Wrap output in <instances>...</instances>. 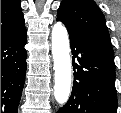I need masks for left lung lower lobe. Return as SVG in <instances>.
<instances>
[{"label": "left lung lower lobe", "mask_w": 121, "mask_h": 113, "mask_svg": "<svg viewBox=\"0 0 121 113\" xmlns=\"http://www.w3.org/2000/svg\"><path fill=\"white\" fill-rule=\"evenodd\" d=\"M69 36L74 83L58 113H117L115 64L81 38Z\"/></svg>", "instance_id": "left-lung-lower-lobe-1"}]
</instances>
